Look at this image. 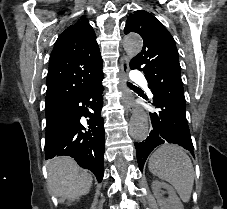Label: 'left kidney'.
<instances>
[{
  "mask_svg": "<svg viewBox=\"0 0 227 209\" xmlns=\"http://www.w3.org/2000/svg\"><path fill=\"white\" fill-rule=\"evenodd\" d=\"M151 187L160 209H183V205L171 185L153 181ZM161 189H165V193H168L167 199L163 197L164 191H161Z\"/></svg>",
  "mask_w": 227,
  "mask_h": 209,
  "instance_id": "5707ae66",
  "label": "left kidney"
}]
</instances>
